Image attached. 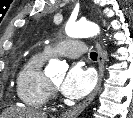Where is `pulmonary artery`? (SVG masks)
<instances>
[{
    "label": "pulmonary artery",
    "instance_id": "obj_1",
    "mask_svg": "<svg viewBox=\"0 0 133 118\" xmlns=\"http://www.w3.org/2000/svg\"><path fill=\"white\" fill-rule=\"evenodd\" d=\"M86 44L81 40H63L53 46H47L45 53L47 55L58 54L67 58L77 59L86 52Z\"/></svg>",
    "mask_w": 133,
    "mask_h": 118
}]
</instances>
